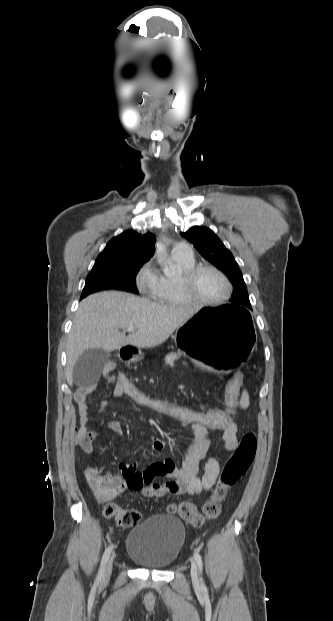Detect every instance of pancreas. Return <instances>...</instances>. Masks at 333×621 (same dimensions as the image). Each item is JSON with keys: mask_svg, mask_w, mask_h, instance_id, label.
I'll list each match as a JSON object with an SVG mask.
<instances>
[{"mask_svg": "<svg viewBox=\"0 0 333 621\" xmlns=\"http://www.w3.org/2000/svg\"><path fill=\"white\" fill-rule=\"evenodd\" d=\"M180 352H171L165 356V364L173 366L174 361L180 357Z\"/></svg>", "mask_w": 333, "mask_h": 621, "instance_id": "pancreas-1", "label": "pancreas"}]
</instances>
